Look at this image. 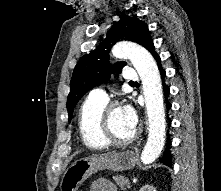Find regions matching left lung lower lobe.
<instances>
[{
  "label": "left lung lower lobe",
  "instance_id": "1",
  "mask_svg": "<svg viewBox=\"0 0 221 191\" xmlns=\"http://www.w3.org/2000/svg\"><path fill=\"white\" fill-rule=\"evenodd\" d=\"M147 50L153 55V57L155 58V60L157 61V64L159 66L160 69V74H161V78H162V82H163V87H164V95H165V99H166V108L167 110H169L171 108V104L168 102V94L170 92L169 87L164 83V78L166 76V72L163 70L162 66H161V60H160V56L155 52L154 49V44L153 42L149 45V47L147 48ZM171 145V140L168 137V141H167V145L164 151L163 156L160 158V162L171 167V163H172V156L171 153L169 151Z\"/></svg>",
  "mask_w": 221,
  "mask_h": 191
}]
</instances>
